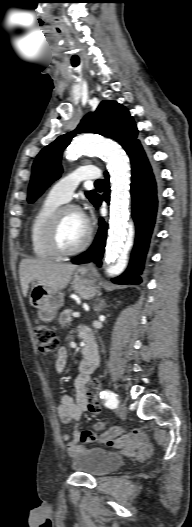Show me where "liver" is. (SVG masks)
Returning a JSON list of instances; mask_svg holds the SVG:
<instances>
[{
	"mask_svg": "<svg viewBox=\"0 0 192 527\" xmlns=\"http://www.w3.org/2000/svg\"><path fill=\"white\" fill-rule=\"evenodd\" d=\"M77 269L74 264L59 263L43 258L22 259L19 266L20 283L24 297L29 283L38 282L54 292L65 289Z\"/></svg>",
	"mask_w": 192,
	"mask_h": 527,
	"instance_id": "1",
	"label": "liver"
}]
</instances>
